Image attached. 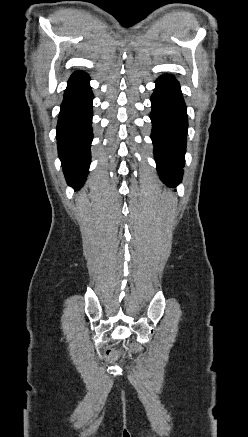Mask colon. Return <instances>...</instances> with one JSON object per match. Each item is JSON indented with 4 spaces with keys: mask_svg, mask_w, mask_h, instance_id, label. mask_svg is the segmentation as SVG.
Masks as SVG:
<instances>
[{
    "mask_svg": "<svg viewBox=\"0 0 248 437\" xmlns=\"http://www.w3.org/2000/svg\"><path fill=\"white\" fill-rule=\"evenodd\" d=\"M111 352H112L111 350H107V354H108V355L111 354Z\"/></svg>",
    "mask_w": 248,
    "mask_h": 437,
    "instance_id": "5ec220e1",
    "label": "colon"
}]
</instances>
